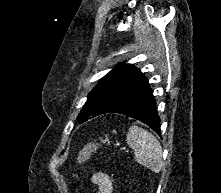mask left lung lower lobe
<instances>
[{"label":"left lung lower lobe","mask_w":221,"mask_h":193,"mask_svg":"<svg viewBox=\"0 0 221 193\" xmlns=\"http://www.w3.org/2000/svg\"><path fill=\"white\" fill-rule=\"evenodd\" d=\"M104 113H119L135 118L161 135L153 90L143 75L127 86Z\"/></svg>","instance_id":"1"}]
</instances>
